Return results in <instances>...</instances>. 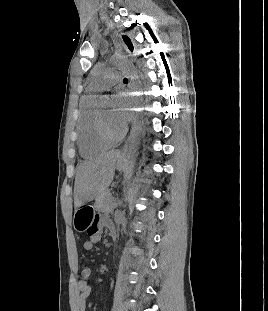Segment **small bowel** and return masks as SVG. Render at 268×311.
<instances>
[{
	"label": "small bowel",
	"mask_w": 268,
	"mask_h": 311,
	"mask_svg": "<svg viewBox=\"0 0 268 311\" xmlns=\"http://www.w3.org/2000/svg\"><path fill=\"white\" fill-rule=\"evenodd\" d=\"M104 229L114 230V224L110 219L105 216H97L94 224L88 229V234L90 238L86 240L83 244L85 250L90 251L94 248L95 244H97L101 240L102 232ZM78 290L80 292L77 301L76 308L77 311H86L87 309V299L91 295V287L86 278L81 279L77 283Z\"/></svg>",
	"instance_id": "obj_1"
}]
</instances>
